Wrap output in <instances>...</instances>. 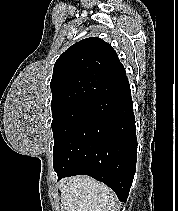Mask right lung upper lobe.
Returning <instances> with one entry per match:
<instances>
[{
  "mask_svg": "<svg viewBox=\"0 0 178 211\" xmlns=\"http://www.w3.org/2000/svg\"><path fill=\"white\" fill-rule=\"evenodd\" d=\"M126 85L125 69L111 45L98 37L83 39L54 65L51 108L77 100L97 102Z\"/></svg>",
  "mask_w": 178,
  "mask_h": 211,
  "instance_id": "cb5924a9",
  "label": "right lung upper lobe"
}]
</instances>
